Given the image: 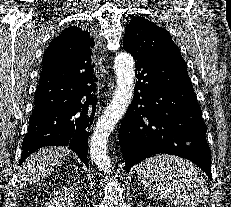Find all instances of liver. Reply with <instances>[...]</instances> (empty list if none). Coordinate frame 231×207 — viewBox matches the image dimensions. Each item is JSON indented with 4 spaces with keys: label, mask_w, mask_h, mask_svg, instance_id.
Segmentation results:
<instances>
[{
    "label": "liver",
    "mask_w": 231,
    "mask_h": 207,
    "mask_svg": "<svg viewBox=\"0 0 231 207\" xmlns=\"http://www.w3.org/2000/svg\"><path fill=\"white\" fill-rule=\"evenodd\" d=\"M70 152L64 147H46L29 156L20 170L19 180L23 182L22 185L49 175Z\"/></svg>",
    "instance_id": "liver-1"
}]
</instances>
